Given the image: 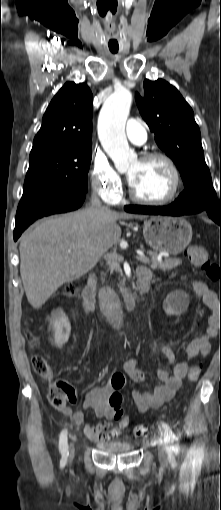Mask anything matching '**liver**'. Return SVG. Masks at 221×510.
Masks as SVG:
<instances>
[{"label":"liver","instance_id":"6515ba94","mask_svg":"<svg viewBox=\"0 0 221 510\" xmlns=\"http://www.w3.org/2000/svg\"><path fill=\"white\" fill-rule=\"evenodd\" d=\"M143 215L97 207L43 219L20 238V274L28 302L41 307L64 283L85 275L121 237L118 219ZM71 250V252H68Z\"/></svg>","mask_w":221,"mask_h":510}]
</instances>
